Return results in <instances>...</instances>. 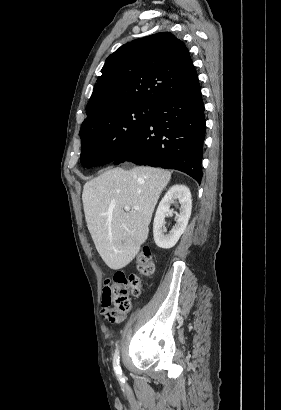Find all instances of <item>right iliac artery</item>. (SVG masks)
Here are the masks:
<instances>
[{"mask_svg": "<svg viewBox=\"0 0 281 410\" xmlns=\"http://www.w3.org/2000/svg\"><path fill=\"white\" fill-rule=\"evenodd\" d=\"M113 367L117 374V377L120 381L123 380L122 371L119 365V350L118 348L115 350L114 357H113Z\"/></svg>", "mask_w": 281, "mask_h": 410, "instance_id": "82829eb1", "label": "right iliac artery"}]
</instances>
